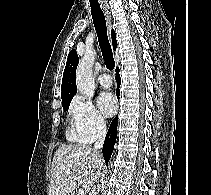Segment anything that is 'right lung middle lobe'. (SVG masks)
Masks as SVG:
<instances>
[{
    "mask_svg": "<svg viewBox=\"0 0 211 195\" xmlns=\"http://www.w3.org/2000/svg\"><path fill=\"white\" fill-rule=\"evenodd\" d=\"M69 104H70V101H69V102H66V103H62L63 109H64L65 111L68 110Z\"/></svg>",
    "mask_w": 211,
    "mask_h": 195,
    "instance_id": "obj_1",
    "label": "right lung middle lobe"
}]
</instances>
